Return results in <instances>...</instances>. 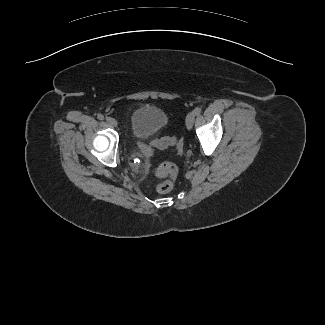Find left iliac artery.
Segmentation results:
<instances>
[{"mask_svg": "<svg viewBox=\"0 0 325 325\" xmlns=\"http://www.w3.org/2000/svg\"><path fill=\"white\" fill-rule=\"evenodd\" d=\"M194 113H195V115H200V113H201V108L196 107V108L194 109Z\"/></svg>", "mask_w": 325, "mask_h": 325, "instance_id": "obj_1", "label": "left iliac artery"}]
</instances>
